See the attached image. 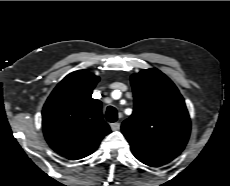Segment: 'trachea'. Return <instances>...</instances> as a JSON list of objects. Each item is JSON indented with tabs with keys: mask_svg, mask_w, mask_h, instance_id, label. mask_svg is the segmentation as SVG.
<instances>
[{
	"mask_svg": "<svg viewBox=\"0 0 230 186\" xmlns=\"http://www.w3.org/2000/svg\"><path fill=\"white\" fill-rule=\"evenodd\" d=\"M105 117L107 121L112 123L115 122L117 120V110L112 106H108L105 113Z\"/></svg>",
	"mask_w": 230,
	"mask_h": 186,
	"instance_id": "trachea-1",
	"label": "trachea"
}]
</instances>
